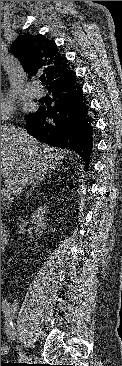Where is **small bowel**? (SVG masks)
Instances as JSON below:
<instances>
[{
	"label": "small bowel",
	"instance_id": "small-bowel-1",
	"mask_svg": "<svg viewBox=\"0 0 122 366\" xmlns=\"http://www.w3.org/2000/svg\"><path fill=\"white\" fill-rule=\"evenodd\" d=\"M6 352H7V347L4 345H1V356L6 354Z\"/></svg>",
	"mask_w": 122,
	"mask_h": 366
}]
</instances>
